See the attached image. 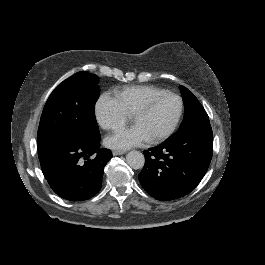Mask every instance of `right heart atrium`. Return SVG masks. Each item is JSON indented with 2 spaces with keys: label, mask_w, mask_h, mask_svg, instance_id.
<instances>
[{
  "label": "right heart atrium",
  "mask_w": 265,
  "mask_h": 265,
  "mask_svg": "<svg viewBox=\"0 0 265 265\" xmlns=\"http://www.w3.org/2000/svg\"><path fill=\"white\" fill-rule=\"evenodd\" d=\"M94 114L99 126L109 131L121 128L127 117L119 100L110 93H105L99 98Z\"/></svg>",
  "instance_id": "d8ad5b80"
}]
</instances>
